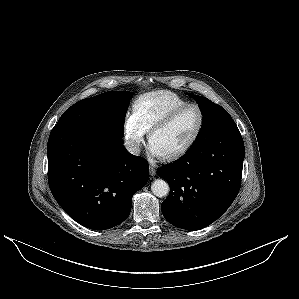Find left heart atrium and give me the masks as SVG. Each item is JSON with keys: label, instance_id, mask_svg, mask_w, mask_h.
<instances>
[{"label": "left heart atrium", "instance_id": "left-heart-atrium-1", "mask_svg": "<svg viewBox=\"0 0 299 299\" xmlns=\"http://www.w3.org/2000/svg\"><path fill=\"white\" fill-rule=\"evenodd\" d=\"M149 152L156 157L163 156V153L152 143H149Z\"/></svg>", "mask_w": 299, "mask_h": 299}]
</instances>
